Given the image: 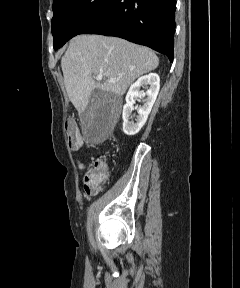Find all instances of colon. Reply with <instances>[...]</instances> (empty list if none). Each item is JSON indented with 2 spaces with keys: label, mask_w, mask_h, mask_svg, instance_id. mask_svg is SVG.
<instances>
[{
  "label": "colon",
  "mask_w": 240,
  "mask_h": 288,
  "mask_svg": "<svg viewBox=\"0 0 240 288\" xmlns=\"http://www.w3.org/2000/svg\"><path fill=\"white\" fill-rule=\"evenodd\" d=\"M65 130L68 136L69 146L76 150L83 145V139L80 135L77 124L74 120H67ZM109 171L106 163L103 160H97L92 169H90L84 177V189L88 194L98 192L101 187L107 182Z\"/></svg>",
  "instance_id": "1"
}]
</instances>
